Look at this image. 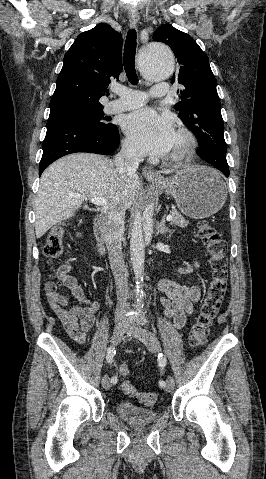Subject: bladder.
Here are the masks:
<instances>
[{
	"instance_id": "obj_1",
	"label": "bladder",
	"mask_w": 266,
	"mask_h": 479,
	"mask_svg": "<svg viewBox=\"0 0 266 479\" xmlns=\"http://www.w3.org/2000/svg\"><path fill=\"white\" fill-rule=\"evenodd\" d=\"M119 417L130 424H150L157 420L158 412L153 408L137 406L129 401L116 404Z\"/></svg>"
}]
</instances>
